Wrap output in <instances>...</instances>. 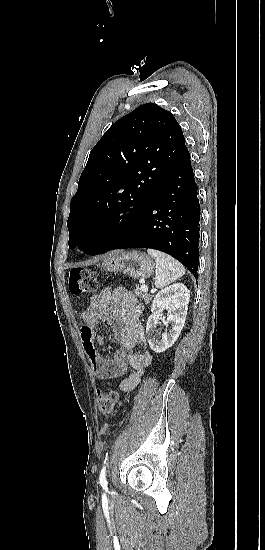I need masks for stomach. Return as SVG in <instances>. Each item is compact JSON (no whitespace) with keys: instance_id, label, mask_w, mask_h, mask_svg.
Listing matches in <instances>:
<instances>
[{"instance_id":"obj_1","label":"stomach","mask_w":265,"mask_h":550,"mask_svg":"<svg viewBox=\"0 0 265 550\" xmlns=\"http://www.w3.org/2000/svg\"><path fill=\"white\" fill-rule=\"evenodd\" d=\"M101 267L107 272H123L132 278H148L153 274L152 259L140 251H113L107 254Z\"/></svg>"}]
</instances>
